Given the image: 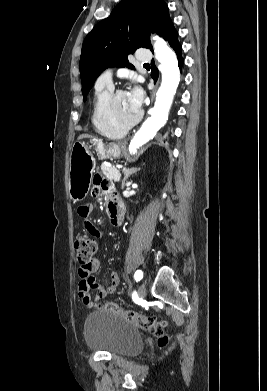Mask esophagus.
<instances>
[{"instance_id":"34e87169","label":"esophagus","mask_w":267,"mask_h":391,"mask_svg":"<svg viewBox=\"0 0 267 391\" xmlns=\"http://www.w3.org/2000/svg\"><path fill=\"white\" fill-rule=\"evenodd\" d=\"M154 95H155V90L153 91L152 96H151L152 100L154 99Z\"/></svg>"}]
</instances>
